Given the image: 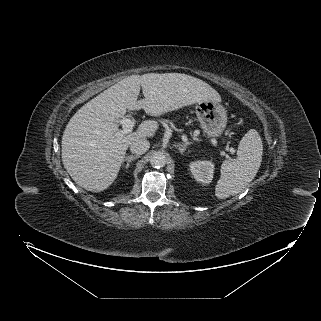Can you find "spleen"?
<instances>
[{"mask_svg": "<svg viewBox=\"0 0 321 321\" xmlns=\"http://www.w3.org/2000/svg\"><path fill=\"white\" fill-rule=\"evenodd\" d=\"M263 145L259 133L249 130L241 139L237 158L225 160L221 165V176L215 195L225 199L240 193L256 176L262 162Z\"/></svg>", "mask_w": 321, "mask_h": 321, "instance_id": "1", "label": "spleen"}]
</instances>
